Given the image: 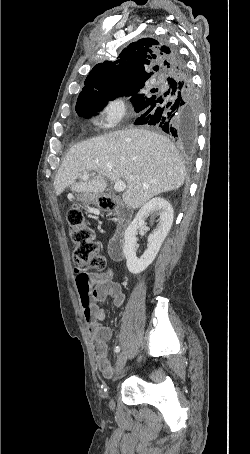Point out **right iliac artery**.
Listing matches in <instances>:
<instances>
[{"label": "right iliac artery", "instance_id": "82829eb1", "mask_svg": "<svg viewBox=\"0 0 250 454\" xmlns=\"http://www.w3.org/2000/svg\"><path fill=\"white\" fill-rule=\"evenodd\" d=\"M115 353H118L120 351V347L119 346H116L115 349H114Z\"/></svg>", "mask_w": 250, "mask_h": 454}]
</instances>
